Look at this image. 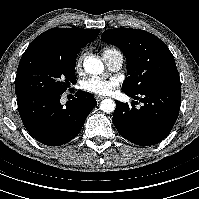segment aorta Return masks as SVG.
Wrapping results in <instances>:
<instances>
[{"mask_svg":"<svg viewBox=\"0 0 199 199\" xmlns=\"http://www.w3.org/2000/svg\"><path fill=\"white\" fill-rule=\"evenodd\" d=\"M84 69L88 74L99 75L104 71V65L101 60L90 56L84 61ZM100 109L105 113H111L115 110V102L112 99H104L100 103Z\"/></svg>","mask_w":199,"mask_h":199,"instance_id":"762f6f07","label":"aorta"}]
</instances>
